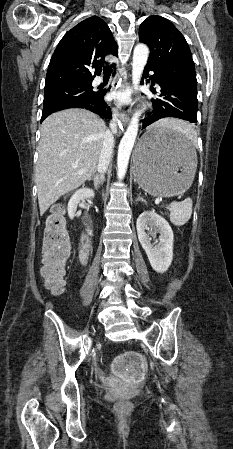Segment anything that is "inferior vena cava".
<instances>
[{
    "label": "inferior vena cava",
    "instance_id": "602c4592",
    "mask_svg": "<svg viewBox=\"0 0 233 449\" xmlns=\"http://www.w3.org/2000/svg\"><path fill=\"white\" fill-rule=\"evenodd\" d=\"M116 133H117V115L114 114L110 122V130H108L105 134L103 147L97 165V171L101 174H104L108 168L114 146V134Z\"/></svg>",
    "mask_w": 233,
    "mask_h": 449
}]
</instances>
